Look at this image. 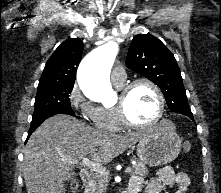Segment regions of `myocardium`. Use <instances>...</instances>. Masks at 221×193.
<instances>
[{"mask_svg": "<svg viewBox=\"0 0 221 193\" xmlns=\"http://www.w3.org/2000/svg\"><path fill=\"white\" fill-rule=\"evenodd\" d=\"M147 85L151 87L158 99V111L155 117L148 123H139L134 121L128 114L126 107V99L131 91L139 86ZM122 124L129 128L146 129L157 125L162 119L165 112V97L161 88L152 80L146 78L135 79L120 88L119 101L115 105Z\"/></svg>", "mask_w": 221, "mask_h": 193, "instance_id": "1", "label": "myocardium"}]
</instances>
